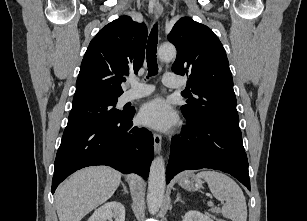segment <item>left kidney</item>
<instances>
[{"mask_svg":"<svg viewBox=\"0 0 307 221\" xmlns=\"http://www.w3.org/2000/svg\"><path fill=\"white\" fill-rule=\"evenodd\" d=\"M182 221H213L208 215L191 210L185 214Z\"/></svg>","mask_w":307,"mask_h":221,"instance_id":"obj_1","label":"left kidney"}]
</instances>
